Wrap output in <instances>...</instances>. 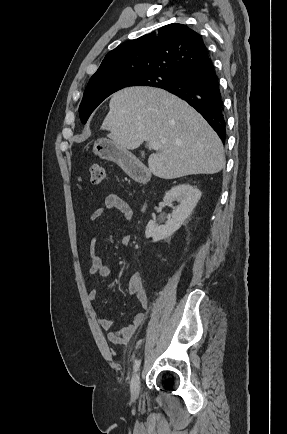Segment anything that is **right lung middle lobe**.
<instances>
[{
	"label": "right lung middle lobe",
	"instance_id": "dd1d6c3e",
	"mask_svg": "<svg viewBox=\"0 0 287 434\" xmlns=\"http://www.w3.org/2000/svg\"><path fill=\"white\" fill-rule=\"evenodd\" d=\"M177 80L178 75L146 73L133 77L116 76L89 81L79 107L81 121L86 123L96 107L108 96L120 89L138 85L165 88L173 85Z\"/></svg>",
	"mask_w": 287,
	"mask_h": 434
}]
</instances>
